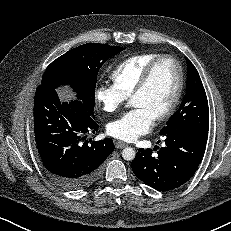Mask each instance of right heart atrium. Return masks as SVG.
I'll return each instance as SVG.
<instances>
[{"instance_id": "right-heart-atrium-1", "label": "right heart atrium", "mask_w": 231, "mask_h": 231, "mask_svg": "<svg viewBox=\"0 0 231 231\" xmlns=\"http://www.w3.org/2000/svg\"><path fill=\"white\" fill-rule=\"evenodd\" d=\"M95 100L107 113L118 110L125 102L126 97L114 84H99L95 89Z\"/></svg>"}]
</instances>
